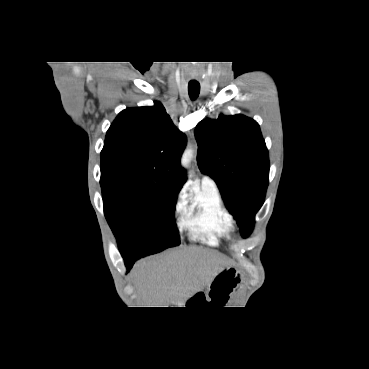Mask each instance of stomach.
I'll use <instances>...</instances> for the list:
<instances>
[{"instance_id":"obj_1","label":"stomach","mask_w":369,"mask_h":369,"mask_svg":"<svg viewBox=\"0 0 369 369\" xmlns=\"http://www.w3.org/2000/svg\"><path fill=\"white\" fill-rule=\"evenodd\" d=\"M241 281L242 276L236 268H223L208 284L206 295L210 297L211 302L215 298L225 305L239 288Z\"/></svg>"}]
</instances>
